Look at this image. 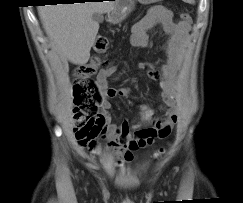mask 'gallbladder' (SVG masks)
<instances>
[{"mask_svg":"<svg viewBox=\"0 0 243 203\" xmlns=\"http://www.w3.org/2000/svg\"><path fill=\"white\" fill-rule=\"evenodd\" d=\"M92 19L93 21L97 22V23H101L103 21V15L100 13H93L92 15Z\"/></svg>","mask_w":243,"mask_h":203,"instance_id":"bac80fb5","label":"gallbladder"}]
</instances>
